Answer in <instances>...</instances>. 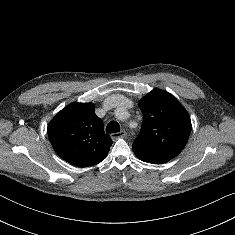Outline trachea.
<instances>
[{
	"instance_id": "trachea-1",
	"label": "trachea",
	"mask_w": 235,
	"mask_h": 235,
	"mask_svg": "<svg viewBox=\"0 0 235 235\" xmlns=\"http://www.w3.org/2000/svg\"><path fill=\"white\" fill-rule=\"evenodd\" d=\"M107 133H117L120 132V125L116 121H111L106 126Z\"/></svg>"
}]
</instances>
